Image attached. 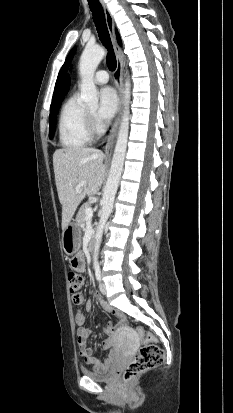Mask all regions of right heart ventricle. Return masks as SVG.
I'll return each mask as SVG.
<instances>
[{"label": "right heart ventricle", "mask_w": 233, "mask_h": 413, "mask_svg": "<svg viewBox=\"0 0 233 413\" xmlns=\"http://www.w3.org/2000/svg\"><path fill=\"white\" fill-rule=\"evenodd\" d=\"M86 111L76 94L71 95L63 104L58 119L59 142L63 148L75 150L91 141Z\"/></svg>", "instance_id": "e07e8e85"}]
</instances>
